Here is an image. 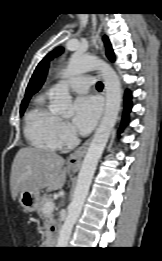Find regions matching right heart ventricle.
<instances>
[{
	"mask_svg": "<svg viewBox=\"0 0 162 261\" xmlns=\"http://www.w3.org/2000/svg\"><path fill=\"white\" fill-rule=\"evenodd\" d=\"M58 116L46 105L44 96H38L25 117V135L37 148L55 150V125Z\"/></svg>",
	"mask_w": 162,
	"mask_h": 261,
	"instance_id": "e07e8e85",
	"label": "right heart ventricle"
}]
</instances>
